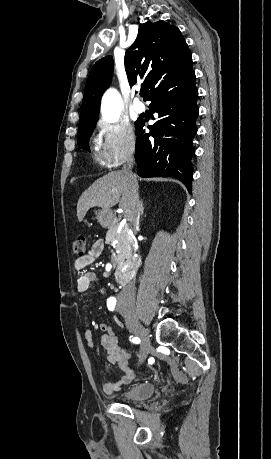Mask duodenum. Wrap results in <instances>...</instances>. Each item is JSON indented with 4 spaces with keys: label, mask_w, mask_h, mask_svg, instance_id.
<instances>
[{
    "label": "duodenum",
    "mask_w": 271,
    "mask_h": 459,
    "mask_svg": "<svg viewBox=\"0 0 271 459\" xmlns=\"http://www.w3.org/2000/svg\"><path fill=\"white\" fill-rule=\"evenodd\" d=\"M140 263H141V259L137 258L133 262V265L131 266V268L118 272L115 277L116 282L122 286L127 285L134 277Z\"/></svg>",
    "instance_id": "duodenum-1"
}]
</instances>
